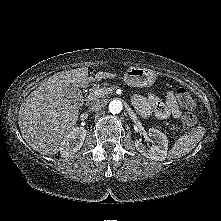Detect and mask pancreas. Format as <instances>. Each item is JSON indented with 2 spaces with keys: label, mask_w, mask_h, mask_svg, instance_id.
<instances>
[{
  "label": "pancreas",
  "mask_w": 221,
  "mask_h": 221,
  "mask_svg": "<svg viewBox=\"0 0 221 221\" xmlns=\"http://www.w3.org/2000/svg\"><path fill=\"white\" fill-rule=\"evenodd\" d=\"M100 88H101V87H100L99 85H96V86L92 89V91L90 92L89 95L93 94L96 90H98V89H100ZM103 88H106V87L104 86ZM110 88H114V87H110ZM94 100H96V99H94Z\"/></svg>",
  "instance_id": "pancreas-1"
}]
</instances>
